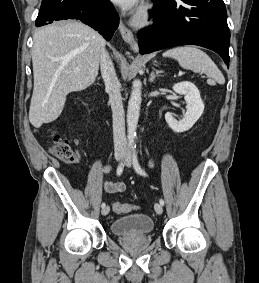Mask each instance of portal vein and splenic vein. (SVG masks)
Wrapping results in <instances>:
<instances>
[{"mask_svg":"<svg viewBox=\"0 0 259 283\" xmlns=\"http://www.w3.org/2000/svg\"><path fill=\"white\" fill-rule=\"evenodd\" d=\"M75 71L77 72V71H79V69H75Z\"/></svg>","mask_w":259,"mask_h":283,"instance_id":"obj_1","label":"portal vein and splenic vein"}]
</instances>
